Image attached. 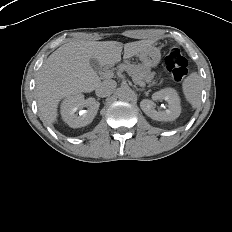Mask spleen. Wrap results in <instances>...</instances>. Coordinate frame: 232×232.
I'll use <instances>...</instances> for the list:
<instances>
[{
  "mask_svg": "<svg viewBox=\"0 0 232 232\" xmlns=\"http://www.w3.org/2000/svg\"><path fill=\"white\" fill-rule=\"evenodd\" d=\"M182 91L185 99L195 109L201 102L202 81L197 72H192L182 83Z\"/></svg>",
  "mask_w": 232,
  "mask_h": 232,
  "instance_id": "spleen-1",
  "label": "spleen"
}]
</instances>
